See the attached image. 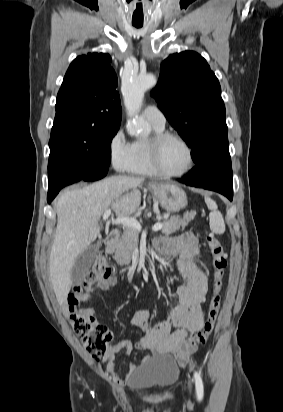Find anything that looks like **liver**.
Returning a JSON list of instances; mask_svg holds the SVG:
<instances>
[{"label":"liver","instance_id":"6515ba94","mask_svg":"<svg viewBox=\"0 0 283 412\" xmlns=\"http://www.w3.org/2000/svg\"><path fill=\"white\" fill-rule=\"evenodd\" d=\"M144 178L113 176L91 185L65 191L56 202L57 227L49 270L59 304L72 286L71 273L77 257L89 248L100 233L99 220L107 209L117 217L133 214L141 202L138 187Z\"/></svg>","mask_w":283,"mask_h":412}]
</instances>
